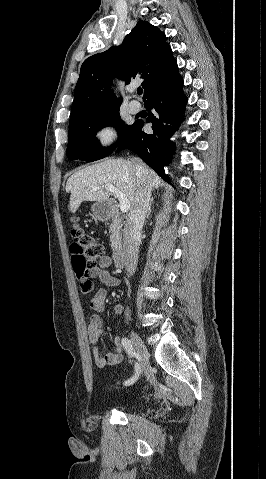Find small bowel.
Here are the masks:
<instances>
[{
    "label": "small bowel",
    "mask_w": 266,
    "mask_h": 479,
    "mask_svg": "<svg viewBox=\"0 0 266 479\" xmlns=\"http://www.w3.org/2000/svg\"><path fill=\"white\" fill-rule=\"evenodd\" d=\"M111 263V258L108 256H104L101 259L99 266L89 271V276L92 279H99L101 283L106 287H118L120 285L119 278L106 270V268L109 267ZM106 297L107 290L105 288H100L92 297L89 305L92 313L87 324V331L89 341L92 344L93 359L98 368H105L107 366L117 365L121 363L123 359V345L119 338H115L113 341L114 350L104 355L101 354L97 346V343L104 332L102 313L105 309ZM122 312V305L118 304L113 307V315L115 317H119Z\"/></svg>",
    "instance_id": "1"
}]
</instances>
